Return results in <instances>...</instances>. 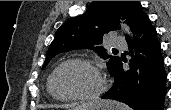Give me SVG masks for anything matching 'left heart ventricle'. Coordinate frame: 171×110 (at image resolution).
<instances>
[{
  "label": "left heart ventricle",
  "instance_id": "1",
  "mask_svg": "<svg viewBox=\"0 0 171 110\" xmlns=\"http://www.w3.org/2000/svg\"><path fill=\"white\" fill-rule=\"evenodd\" d=\"M100 86V78L95 71L80 64H69L58 71L53 87L61 96L91 94Z\"/></svg>",
  "mask_w": 171,
  "mask_h": 110
}]
</instances>
